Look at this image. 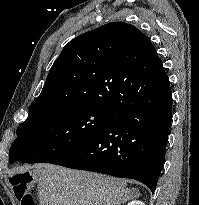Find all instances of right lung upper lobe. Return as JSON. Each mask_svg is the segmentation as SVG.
I'll return each mask as SVG.
<instances>
[{
  "label": "right lung upper lobe",
  "mask_w": 199,
  "mask_h": 205,
  "mask_svg": "<svg viewBox=\"0 0 199 205\" xmlns=\"http://www.w3.org/2000/svg\"><path fill=\"white\" fill-rule=\"evenodd\" d=\"M165 73L150 39L135 26L112 22L64 46L30 108L89 105L115 111L153 89Z\"/></svg>",
  "instance_id": "cb5924a9"
}]
</instances>
